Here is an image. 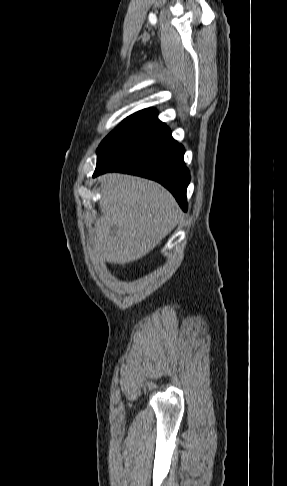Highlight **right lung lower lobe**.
I'll return each instance as SVG.
<instances>
[{"mask_svg": "<svg viewBox=\"0 0 287 486\" xmlns=\"http://www.w3.org/2000/svg\"><path fill=\"white\" fill-rule=\"evenodd\" d=\"M184 148L161 123L140 138L97 162L94 177L105 172H124L155 180L165 186L186 211V189L189 170L183 156Z\"/></svg>", "mask_w": 287, "mask_h": 486, "instance_id": "1", "label": "right lung lower lobe"}]
</instances>
